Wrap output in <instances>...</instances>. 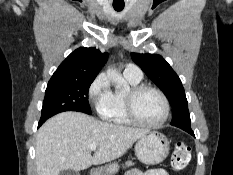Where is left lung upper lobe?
<instances>
[{
  "instance_id": "1",
  "label": "left lung upper lobe",
  "mask_w": 233,
  "mask_h": 175,
  "mask_svg": "<svg viewBox=\"0 0 233 175\" xmlns=\"http://www.w3.org/2000/svg\"><path fill=\"white\" fill-rule=\"evenodd\" d=\"M131 57L168 98L173 112L171 125L185 131L192 130L184 88L171 66L156 54L131 53Z\"/></svg>"
}]
</instances>
